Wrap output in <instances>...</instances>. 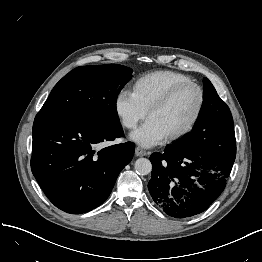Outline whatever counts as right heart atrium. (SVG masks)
Masks as SVG:
<instances>
[{
	"label": "right heart atrium",
	"instance_id": "d8ad5b80",
	"mask_svg": "<svg viewBox=\"0 0 262 262\" xmlns=\"http://www.w3.org/2000/svg\"><path fill=\"white\" fill-rule=\"evenodd\" d=\"M115 111L121 124L127 129H134L147 115L134 93L128 90H121L117 94Z\"/></svg>",
	"mask_w": 262,
	"mask_h": 262
}]
</instances>
